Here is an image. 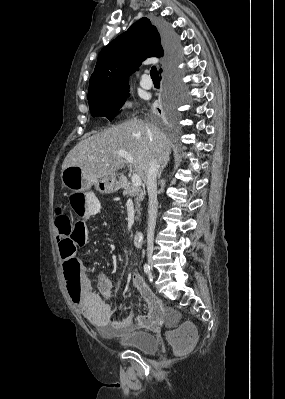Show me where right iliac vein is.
Returning a JSON list of instances; mask_svg holds the SVG:
<instances>
[{"label":"right iliac vein","mask_w":285,"mask_h":399,"mask_svg":"<svg viewBox=\"0 0 285 399\" xmlns=\"http://www.w3.org/2000/svg\"><path fill=\"white\" fill-rule=\"evenodd\" d=\"M147 259H148L149 266L152 268L153 267V258H152L151 252L148 253Z\"/></svg>","instance_id":"1"}]
</instances>
